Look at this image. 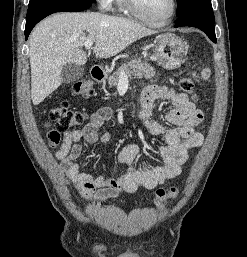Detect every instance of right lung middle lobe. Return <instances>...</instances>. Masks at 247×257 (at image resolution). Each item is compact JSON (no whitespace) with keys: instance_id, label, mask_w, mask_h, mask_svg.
<instances>
[{"instance_id":"1","label":"right lung middle lobe","mask_w":247,"mask_h":257,"mask_svg":"<svg viewBox=\"0 0 247 257\" xmlns=\"http://www.w3.org/2000/svg\"><path fill=\"white\" fill-rule=\"evenodd\" d=\"M46 1H62V0H30L29 6L35 5L40 2H46ZM70 1H78V2H94L95 0H70Z\"/></svg>"}]
</instances>
